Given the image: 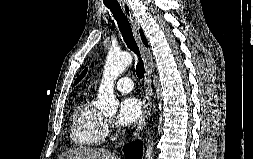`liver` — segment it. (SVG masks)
Returning a JSON list of instances; mask_svg holds the SVG:
<instances>
[{"label":"liver","instance_id":"liver-1","mask_svg":"<svg viewBox=\"0 0 253 159\" xmlns=\"http://www.w3.org/2000/svg\"><path fill=\"white\" fill-rule=\"evenodd\" d=\"M59 159H120L115 153L99 148L77 147L64 152Z\"/></svg>","mask_w":253,"mask_h":159}]
</instances>
